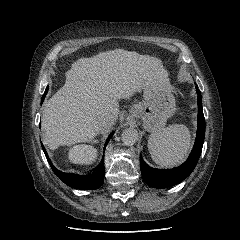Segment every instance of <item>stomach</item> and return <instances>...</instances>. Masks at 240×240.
I'll return each instance as SVG.
<instances>
[{
	"label": "stomach",
	"instance_id": "0dacf381",
	"mask_svg": "<svg viewBox=\"0 0 240 240\" xmlns=\"http://www.w3.org/2000/svg\"><path fill=\"white\" fill-rule=\"evenodd\" d=\"M144 100L131 108V114L141 118L147 131H156L164 127L168 118L176 110L175 98L169 82L155 80L143 87Z\"/></svg>",
	"mask_w": 240,
	"mask_h": 240
}]
</instances>
